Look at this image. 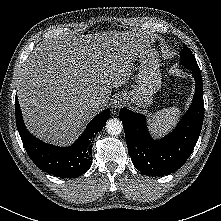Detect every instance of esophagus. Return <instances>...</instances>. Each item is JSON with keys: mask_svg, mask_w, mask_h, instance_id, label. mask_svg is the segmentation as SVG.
Here are the masks:
<instances>
[{"mask_svg": "<svg viewBox=\"0 0 221 221\" xmlns=\"http://www.w3.org/2000/svg\"><path fill=\"white\" fill-rule=\"evenodd\" d=\"M124 105H125V101L121 97H117V98L113 99V101H112V107L115 110L122 108Z\"/></svg>", "mask_w": 221, "mask_h": 221, "instance_id": "34e87169", "label": "esophagus"}]
</instances>
